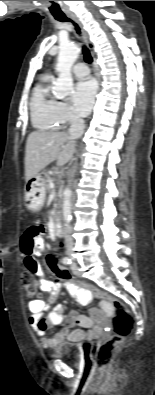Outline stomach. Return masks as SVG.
<instances>
[{"mask_svg":"<svg viewBox=\"0 0 155 395\" xmlns=\"http://www.w3.org/2000/svg\"><path fill=\"white\" fill-rule=\"evenodd\" d=\"M24 198L28 210L35 212L41 209L45 201V181L40 174L27 182Z\"/></svg>","mask_w":155,"mask_h":395,"instance_id":"0dacf381","label":"stomach"}]
</instances>
